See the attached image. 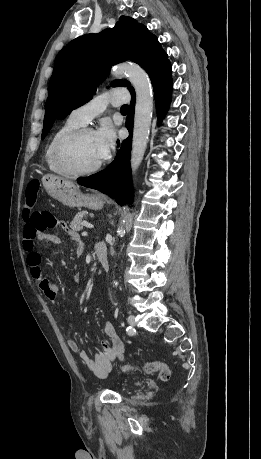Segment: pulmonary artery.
<instances>
[{
	"instance_id": "e3ab8cb5",
	"label": "pulmonary artery",
	"mask_w": 261,
	"mask_h": 459,
	"mask_svg": "<svg viewBox=\"0 0 261 459\" xmlns=\"http://www.w3.org/2000/svg\"><path fill=\"white\" fill-rule=\"evenodd\" d=\"M127 100L128 95L125 90L114 88L95 96L84 105L74 109L69 117L81 125H86L102 113L109 104L118 106Z\"/></svg>"
}]
</instances>
